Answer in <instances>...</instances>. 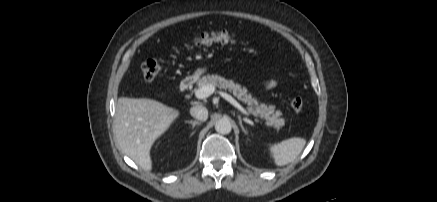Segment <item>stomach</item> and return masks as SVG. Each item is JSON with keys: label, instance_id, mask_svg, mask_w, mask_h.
<instances>
[{"label": "stomach", "instance_id": "obj_1", "mask_svg": "<svg viewBox=\"0 0 437 202\" xmlns=\"http://www.w3.org/2000/svg\"><path fill=\"white\" fill-rule=\"evenodd\" d=\"M206 71H207V68H206V67L198 68V69L195 71V76H196V77H199L200 75L204 74Z\"/></svg>", "mask_w": 437, "mask_h": 202}]
</instances>
